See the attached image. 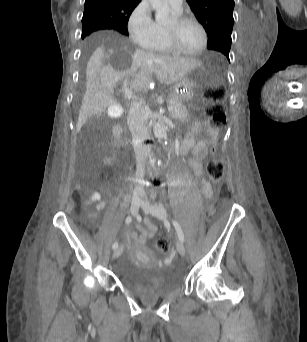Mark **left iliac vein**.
Segmentation results:
<instances>
[{
    "label": "left iliac vein",
    "mask_w": 307,
    "mask_h": 342,
    "mask_svg": "<svg viewBox=\"0 0 307 342\" xmlns=\"http://www.w3.org/2000/svg\"><path fill=\"white\" fill-rule=\"evenodd\" d=\"M141 207L144 211L149 212L150 214L158 217L160 219H165L167 216V212L163 206L157 204H151L148 200L142 201ZM177 251L181 256H185L186 249L185 245L181 240H178L176 243Z\"/></svg>",
    "instance_id": "left-iliac-vein-1"
}]
</instances>
